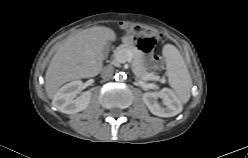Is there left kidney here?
<instances>
[{"mask_svg":"<svg viewBox=\"0 0 248 158\" xmlns=\"http://www.w3.org/2000/svg\"><path fill=\"white\" fill-rule=\"evenodd\" d=\"M163 102L161 106L157 99ZM143 101L152 114L159 117H171L181 112V105L174 93L167 88L160 91L146 92L143 94Z\"/></svg>","mask_w":248,"mask_h":158,"instance_id":"1","label":"left kidney"}]
</instances>
